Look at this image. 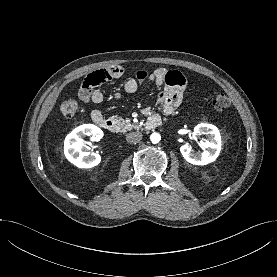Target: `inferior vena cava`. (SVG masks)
Returning a JSON list of instances; mask_svg holds the SVG:
<instances>
[{
    "instance_id": "1",
    "label": "inferior vena cava",
    "mask_w": 277,
    "mask_h": 277,
    "mask_svg": "<svg viewBox=\"0 0 277 277\" xmlns=\"http://www.w3.org/2000/svg\"><path fill=\"white\" fill-rule=\"evenodd\" d=\"M142 139V134L140 132H131L127 134L126 141L131 144H136Z\"/></svg>"
}]
</instances>
